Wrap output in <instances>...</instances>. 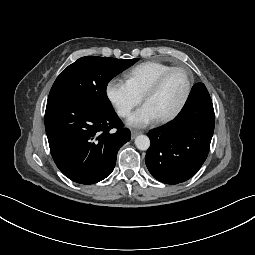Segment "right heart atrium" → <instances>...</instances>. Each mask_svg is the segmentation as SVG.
<instances>
[{"label":"right heart atrium","mask_w":255,"mask_h":255,"mask_svg":"<svg viewBox=\"0 0 255 255\" xmlns=\"http://www.w3.org/2000/svg\"><path fill=\"white\" fill-rule=\"evenodd\" d=\"M105 92L108 101L122 118L129 116L132 109L143 99V96L127 81L119 78H112L109 80Z\"/></svg>","instance_id":"right-heart-atrium-1"}]
</instances>
